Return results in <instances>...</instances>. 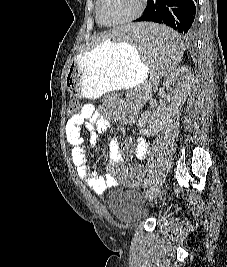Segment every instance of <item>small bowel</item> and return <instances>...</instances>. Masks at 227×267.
Instances as JSON below:
<instances>
[{"mask_svg": "<svg viewBox=\"0 0 227 267\" xmlns=\"http://www.w3.org/2000/svg\"><path fill=\"white\" fill-rule=\"evenodd\" d=\"M119 109L116 112L101 110L92 104L84 105L80 115H71L65 126V137L72 146L71 159L76 168L78 177L96 193H103L106 189L118 184V178L112 173L100 175L86 158L85 138L81 135V128L89 131V142L94 145L100 134L106 133L111 125V119L121 122L134 123L138 119L140 105L130 99L118 101ZM125 148L138 160L148 156V143L141 136L129 138ZM109 155L113 163L119 164L123 160L121 144L114 139L109 143Z\"/></svg>", "mask_w": 227, "mask_h": 267, "instance_id": "c3829d8e", "label": "small bowel"}]
</instances>
